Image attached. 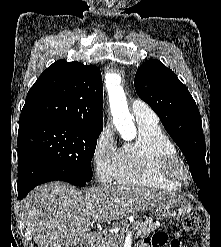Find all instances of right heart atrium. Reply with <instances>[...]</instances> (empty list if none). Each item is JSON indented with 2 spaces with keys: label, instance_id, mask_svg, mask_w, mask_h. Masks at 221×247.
Masks as SVG:
<instances>
[{
  "label": "right heart atrium",
  "instance_id": "d8ad5b80",
  "mask_svg": "<svg viewBox=\"0 0 221 247\" xmlns=\"http://www.w3.org/2000/svg\"><path fill=\"white\" fill-rule=\"evenodd\" d=\"M119 149L112 130L104 129L98 136L92 154V161L98 179L103 183L111 182L116 175Z\"/></svg>",
  "mask_w": 221,
  "mask_h": 247
}]
</instances>
